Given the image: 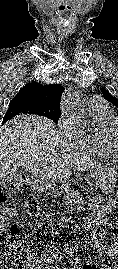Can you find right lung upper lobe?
I'll list each match as a JSON object with an SVG mask.
<instances>
[{"mask_svg": "<svg viewBox=\"0 0 118 269\" xmlns=\"http://www.w3.org/2000/svg\"><path fill=\"white\" fill-rule=\"evenodd\" d=\"M64 88L60 84H26L15 97H25L35 103L47 106L60 108L59 102Z\"/></svg>", "mask_w": 118, "mask_h": 269, "instance_id": "obj_1", "label": "right lung upper lobe"}]
</instances>
